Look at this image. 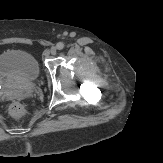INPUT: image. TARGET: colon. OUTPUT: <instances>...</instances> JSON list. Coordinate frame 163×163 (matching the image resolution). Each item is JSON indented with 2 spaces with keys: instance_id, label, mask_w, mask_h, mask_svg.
<instances>
[{
  "instance_id": "colon-1",
  "label": "colon",
  "mask_w": 163,
  "mask_h": 163,
  "mask_svg": "<svg viewBox=\"0 0 163 163\" xmlns=\"http://www.w3.org/2000/svg\"><path fill=\"white\" fill-rule=\"evenodd\" d=\"M11 114L16 118H21L25 115V107L20 102H13L10 106Z\"/></svg>"
}]
</instances>
